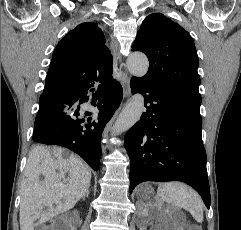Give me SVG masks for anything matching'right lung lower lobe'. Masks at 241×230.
Wrapping results in <instances>:
<instances>
[{
  "mask_svg": "<svg viewBox=\"0 0 241 230\" xmlns=\"http://www.w3.org/2000/svg\"><path fill=\"white\" fill-rule=\"evenodd\" d=\"M93 91L92 99L96 102L94 106L99 109V115L94 120L81 118L80 105L88 101V94ZM122 96V86L114 80L62 101L40 98L33 141L66 147L97 171L102 155V132L120 105Z\"/></svg>",
  "mask_w": 241,
  "mask_h": 230,
  "instance_id": "98d812e1",
  "label": "right lung lower lobe"
}]
</instances>
